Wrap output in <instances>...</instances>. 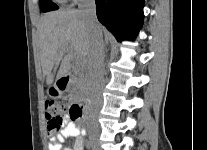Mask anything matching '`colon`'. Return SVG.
Wrapping results in <instances>:
<instances>
[{"instance_id": "5ec220e1", "label": "colon", "mask_w": 207, "mask_h": 150, "mask_svg": "<svg viewBox=\"0 0 207 150\" xmlns=\"http://www.w3.org/2000/svg\"><path fill=\"white\" fill-rule=\"evenodd\" d=\"M45 108L48 131L53 132L59 130L63 125L67 113V105L62 101L49 99L46 101ZM71 115L74 119L81 118V115L76 110L75 106L72 108Z\"/></svg>"}]
</instances>
